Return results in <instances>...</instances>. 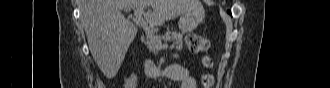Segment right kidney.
<instances>
[{"label": "right kidney", "instance_id": "right-kidney-1", "mask_svg": "<svg viewBox=\"0 0 330 88\" xmlns=\"http://www.w3.org/2000/svg\"><path fill=\"white\" fill-rule=\"evenodd\" d=\"M137 86V75L132 74L130 78L125 80L124 88H136Z\"/></svg>", "mask_w": 330, "mask_h": 88}]
</instances>
